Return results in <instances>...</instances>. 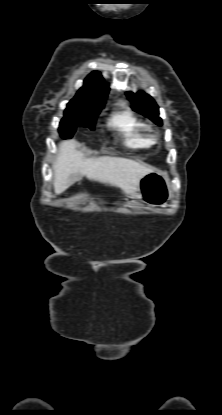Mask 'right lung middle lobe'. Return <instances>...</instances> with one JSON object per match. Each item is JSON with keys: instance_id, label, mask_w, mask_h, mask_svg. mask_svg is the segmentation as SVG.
I'll list each match as a JSON object with an SVG mask.
<instances>
[{"instance_id": "1", "label": "right lung middle lobe", "mask_w": 222, "mask_h": 415, "mask_svg": "<svg viewBox=\"0 0 222 415\" xmlns=\"http://www.w3.org/2000/svg\"><path fill=\"white\" fill-rule=\"evenodd\" d=\"M100 110L75 107L66 109L60 121L59 133L63 138H71L76 131V124L94 130Z\"/></svg>"}]
</instances>
